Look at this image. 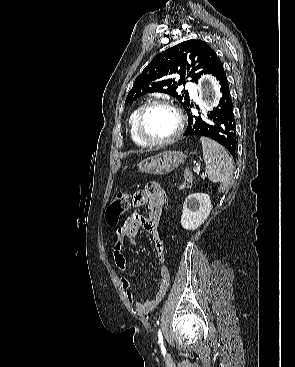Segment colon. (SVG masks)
Instances as JSON below:
<instances>
[{
    "label": "colon",
    "mask_w": 295,
    "mask_h": 367,
    "mask_svg": "<svg viewBox=\"0 0 295 367\" xmlns=\"http://www.w3.org/2000/svg\"><path fill=\"white\" fill-rule=\"evenodd\" d=\"M193 178L190 171L186 170L184 172L183 182L181 187L184 189H188L192 186ZM163 211L169 212L170 211V201L171 196L165 195L163 198ZM130 205L129 195L125 192H119L115 198L112 200L110 205L106 210V221L110 226H115L120 217L127 211Z\"/></svg>",
    "instance_id": "1"
}]
</instances>
